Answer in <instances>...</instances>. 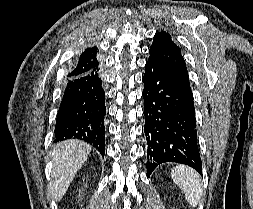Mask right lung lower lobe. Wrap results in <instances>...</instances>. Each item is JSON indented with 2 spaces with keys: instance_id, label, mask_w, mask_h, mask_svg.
I'll use <instances>...</instances> for the list:
<instances>
[{
  "instance_id": "98d812e1",
  "label": "right lung lower lobe",
  "mask_w": 253,
  "mask_h": 209,
  "mask_svg": "<svg viewBox=\"0 0 253 209\" xmlns=\"http://www.w3.org/2000/svg\"><path fill=\"white\" fill-rule=\"evenodd\" d=\"M105 115V92L99 70L69 79L56 117L54 142L79 139L104 157Z\"/></svg>"
}]
</instances>
